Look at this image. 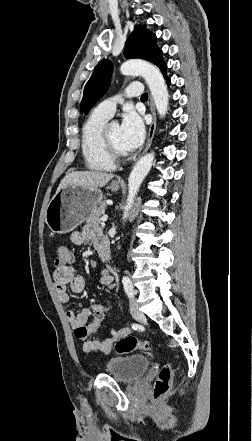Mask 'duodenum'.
Masks as SVG:
<instances>
[{
    "instance_id": "410a0bca",
    "label": "duodenum",
    "mask_w": 252,
    "mask_h": 441,
    "mask_svg": "<svg viewBox=\"0 0 252 441\" xmlns=\"http://www.w3.org/2000/svg\"><path fill=\"white\" fill-rule=\"evenodd\" d=\"M98 253L103 261H106L109 257V243L107 241L102 242V245L98 247Z\"/></svg>"
}]
</instances>
